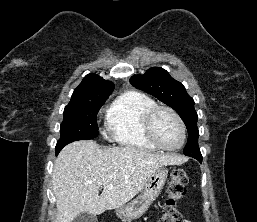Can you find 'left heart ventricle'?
<instances>
[{
	"label": "left heart ventricle",
	"mask_w": 257,
	"mask_h": 222,
	"mask_svg": "<svg viewBox=\"0 0 257 222\" xmlns=\"http://www.w3.org/2000/svg\"><path fill=\"white\" fill-rule=\"evenodd\" d=\"M158 140L167 147H176L181 142V130L175 118L168 112H160L154 121Z\"/></svg>",
	"instance_id": "obj_1"
}]
</instances>
